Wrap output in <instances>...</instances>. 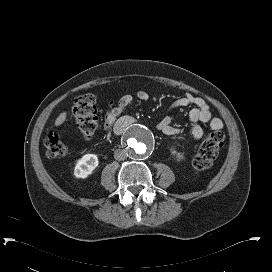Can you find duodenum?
Segmentation results:
<instances>
[{"label": "duodenum", "instance_id": "1", "mask_svg": "<svg viewBox=\"0 0 272 272\" xmlns=\"http://www.w3.org/2000/svg\"><path fill=\"white\" fill-rule=\"evenodd\" d=\"M127 121H118L114 124L113 128H112V133L115 136H118L122 133V131L124 130V128L126 127Z\"/></svg>", "mask_w": 272, "mask_h": 272}]
</instances>
